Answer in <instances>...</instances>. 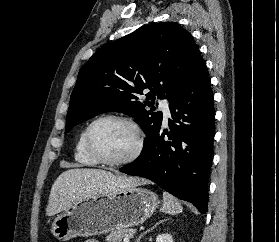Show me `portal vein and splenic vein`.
I'll return each instance as SVG.
<instances>
[{"mask_svg":"<svg viewBox=\"0 0 279 242\" xmlns=\"http://www.w3.org/2000/svg\"><path fill=\"white\" fill-rule=\"evenodd\" d=\"M123 241L124 242H129L130 240H129V238H125Z\"/></svg>","mask_w":279,"mask_h":242,"instance_id":"18ae733b","label":"portal vein and splenic vein"}]
</instances>
